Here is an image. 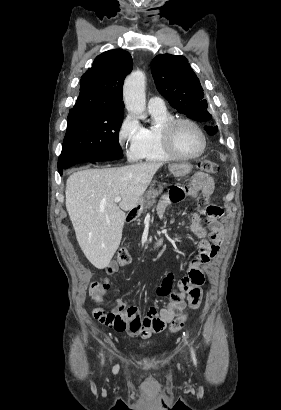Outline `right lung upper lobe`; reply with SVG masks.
I'll use <instances>...</instances> for the list:
<instances>
[{
	"mask_svg": "<svg viewBox=\"0 0 281 410\" xmlns=\"http://www.w3.org/2000/svg\"><path fill=\"white\" fill-rule=\"evenodd\" d=\"M132 67V57L124 50H110L97 56L81 77L80 94L74 107L123 112L122 86Z\"/></svg>",
	"mask_w": 281,
	"mask_h": 410,
	"instance_id": "obj_1",
	"label": "right lung upper lobe"
}]
</instances>
